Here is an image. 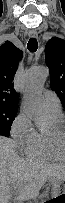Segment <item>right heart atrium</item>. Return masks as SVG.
<instances>
[{
    "mask_svg": "<svg viewBox=\"0 0 65 203\" xmlns=\"http://www.w3.org/2000/svg\"><path fill=\"white\" fill-rule=\"evenodd\" d=\"M12 136L19 145L31 144L34 141L36 133L32 120L27 115L21 114L18 116L12 126Z\"/></svg>",
    "mask_w": 65,
    "mask_h": 203,
    "instance_id": "1",
    "label": "right heart atrium"
}]
</instances>
